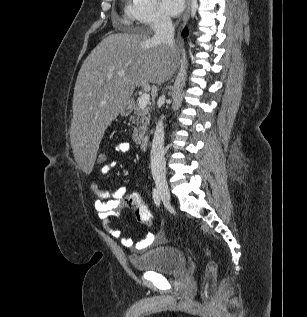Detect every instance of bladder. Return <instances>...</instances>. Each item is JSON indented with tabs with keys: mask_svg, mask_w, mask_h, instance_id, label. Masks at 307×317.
I'll return each mask as SVG.
<instances>
[{
	"mask_svg": "<svg viewBox=\"0 0 307 317\" xmlns=\"http://www.w3.org/2000/svg\"><path fill=\"white\" fill-rule=\"evenodd\" d=\"M129 260L137 271H154L163 275L179 274L186 266L183 253L170 246L150 249L141 256H130Z\"/></svg>",
	"mask_w": 307,
	"mask_h": 317,
	"instance_id": "31cf9c89",
	"label": "bladder"
}]
</instances>
